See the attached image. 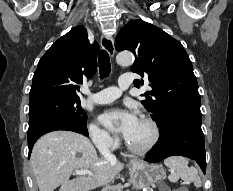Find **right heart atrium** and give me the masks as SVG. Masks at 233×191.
Masks as SVG:
<instances>
[{
    "label": "right heart atrium",
    "mask_w": 233,
    "mask_h": 191,
    "mask_svg": "<svg viewBox=\"0 0 233 191\" xmlns=\"http://www.w3.org/2000/svg\"><path fill=\"white\" fill-rule=\"evenodd\" d=\"M89 132L94 145L100 151L112 150L118 144V140L116 137L112 136L106 130L101 129L95 124L90 125Z\"/></svg>",
    "instance_id": "d8ad5b80"
}]
</instances>
